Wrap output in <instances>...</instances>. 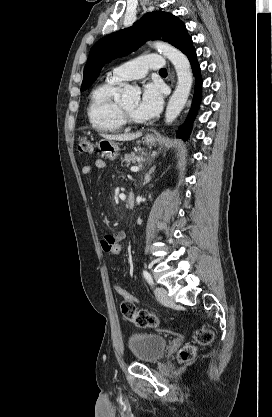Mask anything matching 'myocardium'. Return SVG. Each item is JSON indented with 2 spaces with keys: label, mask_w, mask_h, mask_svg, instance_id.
<instances>
[{
  "label": "myocardium",
  "mask_w": 272,
  "mask_h": 417,
  "mask_svg": "<svg viewBox=\"0 0 272 417\" xmlns=\"http://www.w3.org/2000/svg\"><path fill=\"white\" fill-rule=\"evenodd\" d=\"M120 115L125 125H138L142 123L141 119L134 117L129 111H127L123 105H120Z\"/></svg>",
  "instance_id": "obj_1"
}]
</instances>
